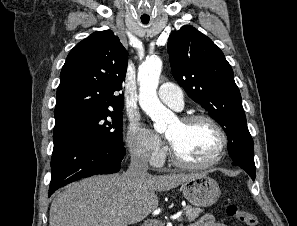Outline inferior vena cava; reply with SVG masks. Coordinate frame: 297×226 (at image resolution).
<instances>
[{"label": "inferior vena cava", "instance_id": "obj_1", "mask_svg": "<svg viewBox=\"0 0 297 226\" xmlns=\"http://www.w3.org/2000/svg\"><path fill=\"white\" fill-rule=\"evenodd\" d=\"M148 160L144 153L134 152L130 165L125 173L128 179L135 181L148 176Z\"/></svg>", "mask_w": 297, "mask_h": 226}]
</instances>
